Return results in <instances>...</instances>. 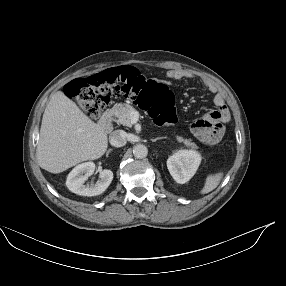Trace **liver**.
I'll use <instances>...</instances> for the list:
<instances>
[{
  "label": "liver",
  "mask_w": 286,
  "mask_h": 286,
  "mask_svg": "<svg viewBox=\"0 0 286 286\" xmlns=\"http://www.w3.org/2000/svg\"><path fill=\"white\" fill-rule=\"evenodd\" d=\"M108 147L107 133L62 91L46 106L37 146L39 166L61 173L83 161L102 157Z\"/></svg>",
  "instance_id": "1"
}]
</instances>
